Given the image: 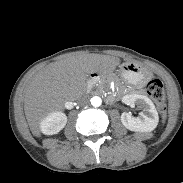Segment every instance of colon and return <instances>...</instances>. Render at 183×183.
Masks as SVG:
<instances>
[{"label": "colon", "mask_w": 183, "mask_h": 183, "mask_svg": "<svg viewBox=\"0 0 183 183\" xmlns=\"http://www.w3.org/2000/svg\"><path fill=\"white\" fill-rule=\"evenodd\" d=\"M148 95L156 102L161 112L165 109V90L161 81L151 80L146 87Z\"/></svg>", "instance_id": "1"}]
</instances>
